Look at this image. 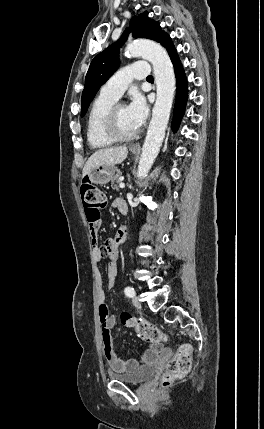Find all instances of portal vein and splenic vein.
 I'll list each match as a JSON object with an SVG mask.
<instances>
[{
	"instance_id": "obj_1",
	"label": "portal vein and splenic vein",
	"mask_w": 264,
	"mask_h": 429,
	"mask_svg": "<svg viewBox=\"0 0 264 429\" xmlns=\"http://www.w3.org/2000/svg\"><path fill=\"white\" fill-rule=\"evenodd\" d=\"M119 187H120V188H124V187H125V184H124L123 182H120V183H119Z\"/></svg>"
}]
</instances>
